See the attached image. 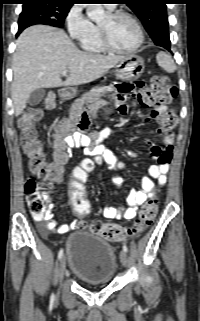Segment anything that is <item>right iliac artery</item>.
<instances>
[{"instance_id":"1","label":"right iliac artery","mask_w":200,"mask_h":321,"mask_svg":"<svg viewBox=\"0 0 200 321\" xmlns=\"http://www.w3.org/2000/svg\"><path fill=\"white\" fill-rule=\"evenodd\" d=\"M63 256V249H60L59 253H58V259H61ZM55 298L54 294L51 295V301H53Z\"/></svg>"}]
</instances>
